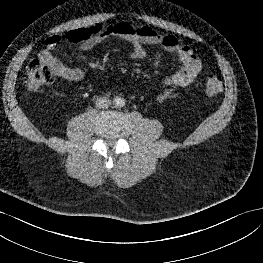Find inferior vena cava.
<instances>
[{
    "instance_id": "obj_1",
    "label": "inferior vena cava",
    "mask_w": 263,
    "mask_h": 263,
    "mask_svg": "<svg viewBox=\"0 0 263 263\" xmlns=\"http://www.w3.org/2000/svg\"><path fill=\"white\" fill-rule=\"evenodd\" d=\"M96 107L100 108V109H105L108 108L111 104L110 99L106 98V97H99L96 99Z\"/></svg>"
}]
</instances>
